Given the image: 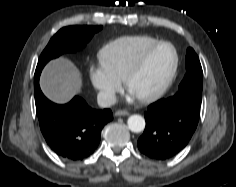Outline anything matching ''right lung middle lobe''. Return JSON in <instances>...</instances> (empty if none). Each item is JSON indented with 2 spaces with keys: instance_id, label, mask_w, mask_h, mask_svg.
I'll return each instance as SVG.
<instances>
[{
  "instance_id": "1",
  "label": "right lung middle lobe",
  "mask_w": 236,
  "mask_h": 187,
  "mask_svg": "<svg viewBox=\"0 0 236 187\" xmlns=\"http://www.w3.org/2000/svg\"><path fill=\"white\" fill-rule=\"evenodd\" d=\"M102 26H69L60 29L49 41L40 55L34 78H39L45 64L66 52H76L100 31Z\"/></svg>"
}]
</instances>
